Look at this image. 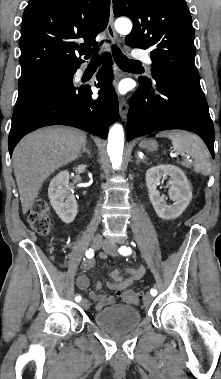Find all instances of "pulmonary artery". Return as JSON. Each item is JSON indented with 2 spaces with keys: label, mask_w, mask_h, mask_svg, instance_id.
Instances as JSON below:
<instances>
[{
  "label": "pulmonary artery",
  "mask_w": 221,
  "mask_h": 379,
  "mask_svg": "<svg viewBox=\"0 0 221 379\" xmlns=\"http://www.w3.org/2000/svg\"><path fill=\"white\" fill-rule=\"evenodd\" d=\"M133 57L135 59H139V60H143L145 63H147L148 65H151L152 64V60L149 56V54L145 51H141V50H136L132 53Z\"/></svg>",
  "instance_id": "e3ab8cb5"
}]
</instances>
